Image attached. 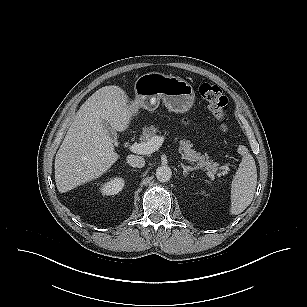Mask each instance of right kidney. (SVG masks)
<instances>
[{
	"instance_id": "ca27d5eb",
	"label": "right kidney",
	"mask_w": 307,
	"mask_h": 307,
	"mask_svg": "<svg viewBox=\"0 0 307 307\" xmlns=\"http://www.w3.org/2000/svg\"><path fill=\"white\" fill-rule=\"evenodd\" d=\"M125 181L123 178L121 177H116L113 178L111 180H109L108 182H105L101 188L100 191L102 193V195H116L117 193H119L123 187H124Z\"/></svg>"
}]
</instances>
